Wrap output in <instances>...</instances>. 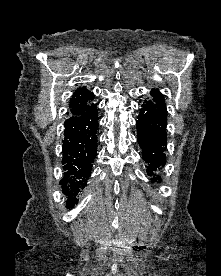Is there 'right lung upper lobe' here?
<instances>
[{
    "label": "right lung upper lobe",
    "instance_id": "right-lung-upper-lobe-1",
    "mask_svg": "<svg viewBox=\"0 0 221 276\" xmlns=\"http://www.w3.org/2000/svg\"><path fill=\"white\" fill-rule=\"evenodd\" d=\"M94 94L89 92L87 88L81 87L73 93L69 103V114L78 115L92 104Z\"/></svg>",
    "mask_w": 221,
    "mask_h": 276
}]
</instances>
